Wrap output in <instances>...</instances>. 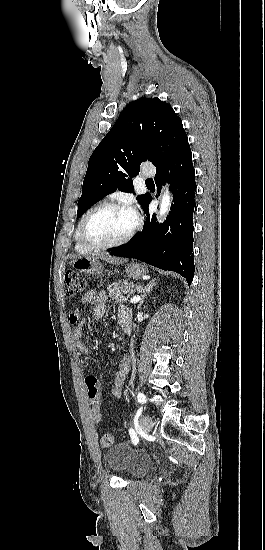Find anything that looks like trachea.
Here are the masks:
<instances>
[{
    "label": "trachea",
    "mask_w": 265,
    "mask_h": 550,
    "mask_svg": "<svg viewBox=\"0 0 265 550\" xmlns=\"http://www.w3.org/2000/svg\"><path fill=\"white\" fill-rule=\"evenodd\" d=\"M146 183H147V184H148V183H153V180H152V179H147V180H146Z\"/></svg>",
    "instance_id": "1"
}]
</instances>
